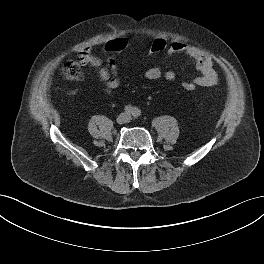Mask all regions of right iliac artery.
<instances>
[{
  "mask_svg": "<svg viewBox=\"0 0 264 264\" xmlns=\"http://www.w3.org/2000/svg\"><path fill=\"white\" fill-rule=\"evenodd\" d=\"M133 111H134V108H133L132 106L127 105V106L125 107V112H126V113L130 114V113H132Z\"/></svg>",
  "mask_w": 264,
  "mask_h": 264,
  "instance_id": "82829eb1",
  "label": "right iliac artery"
}]
</instances>
